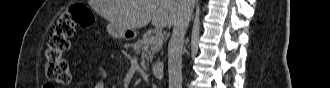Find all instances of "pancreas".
<instances>
[{
	"instance_id": "obj_1",
	"label": "pancreas",
	"mask_w": 330,
	"mask_h": 88,
	"mask_svg": "<svg viewBox=\"0 0 330 88\" xmlns=\"http://www.w3.org/2000/svg\"><path fill=\"white\" fill-rule=\"evenodd\" d=\"M163 44V42H162ZM162 44L155 43V36L154 35H146L144 39L139 40L133 45V50L135 52L142 51V58H150L152 59L154 54L157 53ZM150 48V50H149ZM148 51V54L146 53Z\"/></svg>"
}]
</instances>
